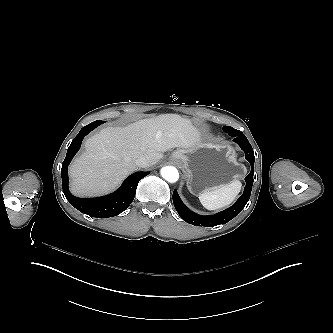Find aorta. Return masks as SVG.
Here are the masks:
<instances>
[{
	"label": "aorta",
	"instance_id": "obj_1",
	"mask_svg": "<svg viewBox=\"0 0 333 333\" xmlns=\"http://www.w3.org/2000/svg\"><path fill=\"white\" fill-rule=\"evenodd\" d=\"M161 176L169 183H176L179 180V172L173 166H166L161 169Z\"/></svg>",
	"mask_w": 333,
	"mask_h": 333
}]
</instances>
